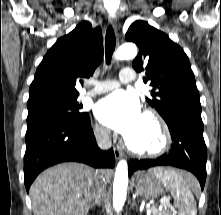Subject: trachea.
I'll return each instance as SVG.
<instances>
[{
  "mask_svg": "<svg viewBox=\"0 0 221 215\" xmlns=\"http://www.w3.org/2000/svg\"><path fill=\"white\" fill-rule=\"evenodd\" d=\"M116 40L113 28L108 27L105 38V56L106 62L109 65L112 59L113 52L115 50Z\"/></svg>",
  "mask_w": 221,
  "mask_h": 215,
  "instance_id": "1",
  "label": "trachea"
}]
</instances>
